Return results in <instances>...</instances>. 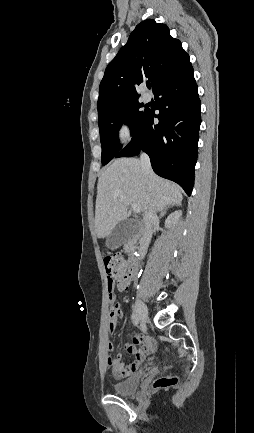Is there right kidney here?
I'll return each instance as SVG.
<instances>
[{
	"label": "right kidney",
	"mask_w": 254,
	"mask_h": 433,
	"mask_svg": "<svg viewBox=\"0 0 254 433\" xmlns=\"http://www.w3.org/2000/svg\"><path fill=\"white\" fill-rule=\"evenodd\" d=\"M181 215H182V211L180 210L171 213L165 220V226L167 228H171L172 226H174L178 222Z\"/></svg>",
	"instance_id": "obj_1"
}]
</instances>
